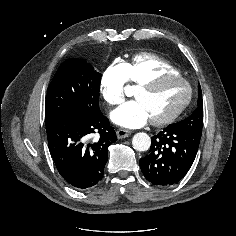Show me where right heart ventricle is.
Returning a JSON list of instances; mask_svg holds the SVG:
<instances>
[{
    "label": "right heart ventricle",
    "instance_id": "right-heart-ventricle-1",
    "mask_svg": "<svg viewBox=\"0 0 236 236\" xmlns=\"http://www.w3.org/2000/svg\"><path fill=\"white\" fill-rule=\"evenodd\" d=\"M165 73L179 74V71L167 60L150 53L139 54L127 64V82L137 86Z\"/></svg>",
    "mask_w": 236,
    "mask_h": 236
}]
</instances>
